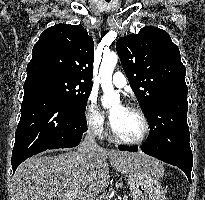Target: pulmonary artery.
Wrapping results in <instances>:
<instances>
[{
	"mask_svg": "<svg viewBox=\"0 0 205 200\" xmlns=\"http://www.w3.org/2000/svg\"><path fill=\"white\" fill-rule=\"evenodd\" d=\"M112 83L117 88H124L127 85V79L121 72H116L112 77Z\"/></svg>",
	"mask_w": 205,
	"mask_h": 200,
	"instance_id": "1",
	"label": "pulmonary artery"
}]
</instances>
